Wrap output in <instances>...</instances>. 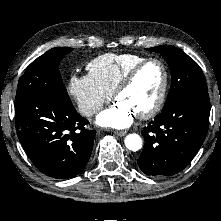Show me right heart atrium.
<instances>
[{
    "label": "right heart atrium",
    "mask_w": 221,
    "mask_h": 221,
    "mask_svg": "<svg viewBox=\"0 0 221 221\" xmlns=\"http://www.w3.org/2000/svg\"><path fill=\"white\" fill-rule=\"evenodd\" d=\"M68 93L79 112L86 117L95 115L112 96L90 74L72 75L68 82Z\"/></svg>",
    "instance_id": "obj_1"
}]
</instances>
